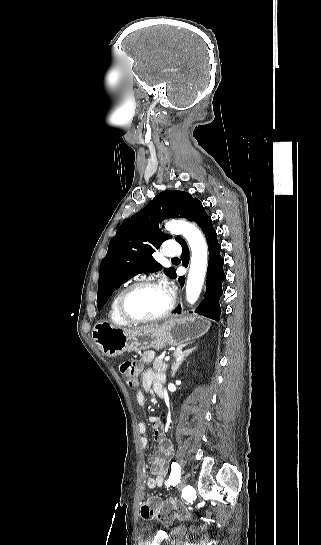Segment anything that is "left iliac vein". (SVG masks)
Segmentation results:
<instances>
[{
    "label": "left iliac vein",
    "instance_id": "obj_1",
    "mask_svg": "<svg viewBox=\"0 0 321 545\" xmlns=\"http://www.w3.org/2000/svg\"><path fill=\"white\" fill-rule=\"evenodd\" d=\"M187 480H188V478H187L186 475L181 477V479L179 480L178 485H177V490L178 491H181L183 488H185V486L187 485Z\"/></svg>",
    "mask_w": 321,
    "mask_h": 545
}]
</instances>
